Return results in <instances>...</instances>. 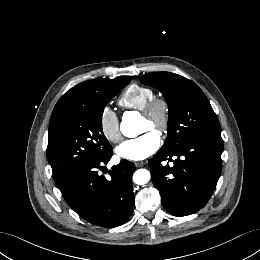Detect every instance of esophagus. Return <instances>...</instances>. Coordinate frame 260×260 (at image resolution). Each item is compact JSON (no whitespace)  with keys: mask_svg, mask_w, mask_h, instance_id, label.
Instances as JSON below:
<instances>
[{"mask_svg":"<svg viewBox=\"0 0 260 260\" xmlns=\"http://www.w3.org/2000/svg\"><path fill=\"white\" fill-rule=\"evenodd\" d=\"M144 165H145V162H143V161H136L135 162L136 167H143Z\"/></svg>","mask_w":260,"mask_h":260,"instance_id":"1","label":"esophagus"}]
</instances>
